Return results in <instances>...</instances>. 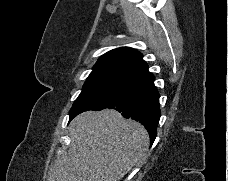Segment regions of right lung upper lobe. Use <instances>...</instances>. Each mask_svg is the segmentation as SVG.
<instances>
[{"mask_svg":"<svg viewBox=\"0 0 228 181\" xmlns=\"http://www.w3.org/2000/svg\"><path fill=\"white\" fill-rule=\"evenodd\" d=\"M148 72L142 54L129 47L113 49L100 57L89 77H114L132 81Z\"/></svg>","mask_w":228,"mask_h":181,"instance_id":"1","label":"right lung upper lobe"}]
</instances>
